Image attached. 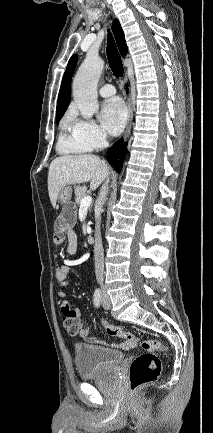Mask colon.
I'll return each instance as SVG.
<instances>
[{
    "label": "colon",
    "instance_id": "1",
    "mask_svg": "<svg viewBox=\"0 0 213 433\" xmlns=\"http://www.w3.org/2000/svg\"><path fill=\"white\" fill-rule=\"evenodd\" d=\"M63 326L69 335L75 336L82 329V319L78 312L70 311L63 316ZM106 333L112 337L124 339L131 345L140 344L145 353L135 357L129 366V384L135 391L145 384L155 381L161 372V360L155 352H166V347L157 339L140 340L132 333L124 331L120 326L103 322Z\"/></svg>",
    "mask_w": 213,
    "mask_h": 433
}]
</instances>
